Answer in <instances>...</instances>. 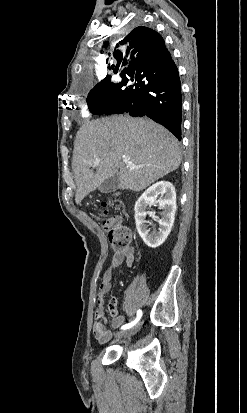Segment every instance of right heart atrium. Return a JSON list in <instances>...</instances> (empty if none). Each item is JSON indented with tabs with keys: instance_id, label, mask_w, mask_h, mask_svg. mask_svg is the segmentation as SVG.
Wrapping results in <instances>:
<instances>
[{
	"instance_id": "right-heart-atrium-1",
	"label": "right heart atrium",
	"mask_w": 247,
	"mask_h": 413,
	"mask_svg": "<svg viewBox=\"0 0 247 413\" xmlns=\"http://www.w3.org/2000/svg\"><path fill=\"white\" fill-rule=\"evenodd\" d=\"M85 106H86L87 108H90V107L92 106V103H91L90 101H87V102L85 103ZM82 116H83L85 119H90V118L92 117V112H91L90 110H85V111L82 113ZM79 130H81V129H79ZM98 130H101V129H98Z\"/></svg>"
}]
</instances>
